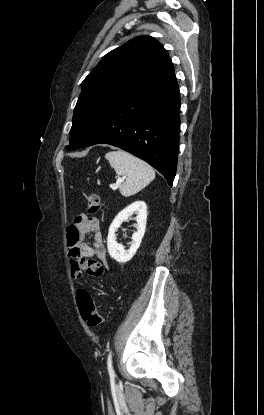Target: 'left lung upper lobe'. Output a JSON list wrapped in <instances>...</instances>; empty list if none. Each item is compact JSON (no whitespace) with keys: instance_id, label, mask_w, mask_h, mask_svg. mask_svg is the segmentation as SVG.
Returning <instances> with one entry per match:
<instances>
[{"instance_id":"1","label":"left lung upper lobe","mask_w":264,"mask_h":415,"mask_svg":"<svg viewBox=\"0 0 264 415\" xmlns=\"http://www.w3.org/2000/svg\"><path fill=\"white\" fill-rule=\"evenodd\" d=\"M173 71L167 51L151 36L136 37L106 54L81 84L66 149H78L119 102Z\"/></svg>"}]
</instances>
